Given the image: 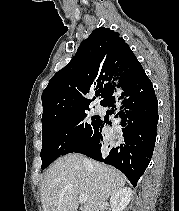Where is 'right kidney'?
I'll return each instance as SVG.
<instances>
[{
	"label": "right kidney",
	"instance_id": "1",
	"mask_svg": "<svg viewBox=\"0 0 179 211\" xmlns=\"http://www.w3.org/2000/svg\"><path fill=\"white\" fill-rule=\"evenodd\" d=\"M131 188H121L115 192L110 198V206L112 211H124L132 197Z\"/></svg>",
	"mask_w": 179,
	"mask_h": 211
}]
</instances>
